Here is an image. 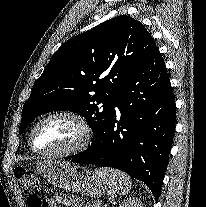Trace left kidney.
I'll use <instances>...</instances> for the list:
<instances>
[{"label":"left kidney","instance_id":"5707ae66","mask_svg":"<svg viewBox=\"0 0 206 207\" xmlns=\"http://www.w3.org/2000/svg\"><path fill=\"white\" fill-rule=\"evenodd\" d=\"M119 207H143V204L140 200L135 198H129L123 202Z\"/></svg>","mask_w":206,"mask_h":207}]
</instances>
